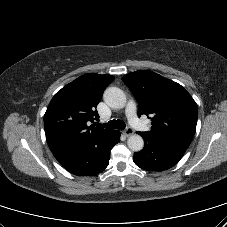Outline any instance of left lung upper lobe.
I'll list each match as a JSON object with an SVG mask.
<instances>
[{"instance_id":"1","label":"left lung upper lobe","mask_w":227,"mask_h":227,"mask_svg":"<svg viewBox=\"0 0 227 227\" xmlns=\"http://www.w3.org/2000/svg\"><path fill=\"white\" fill-rule=\"evenodd\" d=\"M122 80L138 102V115L153 116L151 131L139 133L188 148L198 116L189 93L180 84L147 70L129 73Z\"/></svg>"}]
</instances>
